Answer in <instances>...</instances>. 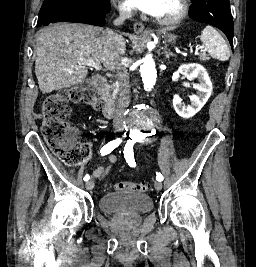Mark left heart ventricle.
I'll list each match as a JSON object with an SVG mask.
<instances>
[{
    "label": "left heart ventricle",
    "mask_w": 256,
    "mask_h": 267,
    "mask_svg": "<svg viewBox=\"0 0 256 267\" xmlns=\"http://www.w3.org/2000/svg\"><path fill=\"white\" fill-rule=\"evenodd\" d=\"M174 15H175V9L173 8L172 5H170L166 10L165 14L163 15L162 18L163 22H170L173 19Z\"/></svg>",
    "instance_id": "obj_1"
}]
</instances>
